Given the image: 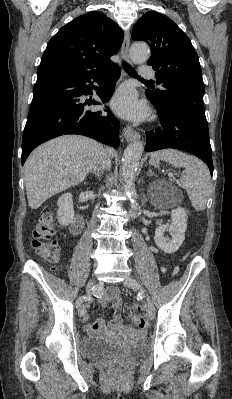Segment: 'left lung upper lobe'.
Returning a JSON list of instances; mask_svg holds the SVG:
<instances>
[{
	"label": "left lung upper lobe",
	"instance_id": "obj_1",
	"mask_svg": "<svg viewBox=\"0 0 232 399\" xmlns=\"http://www.w3.org/2000/svg\"><path fill=\"white\" fill-rule=\"evenodd\" d=\"M132 39L151 47L147 64L156 71L157 84L162 87L147 90L148 99L159 109L178 112L208 130L201 66L189 38L167 16L151 11L137 21Z\"/></svg>",
	"mask_w": 232,
	"mask_h": 399
}]
</instances>
